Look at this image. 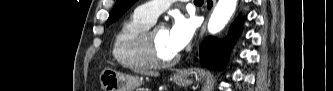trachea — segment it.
<instances>
[{
    "label": "trachea",
    "mask_w": 333,
    "mask_h": 91,
    "mask_svg": "<svg viewBox=\"0 0 333 91\" xmlns=\"http://www.w3.org/2000/svg\"><path fill=\"white\" fill-rule=\"evenodd\" d=\"M195 3H203V0H194Z\"/></svg>",
    "instance_id": "obj_1"
}]
</instances>
